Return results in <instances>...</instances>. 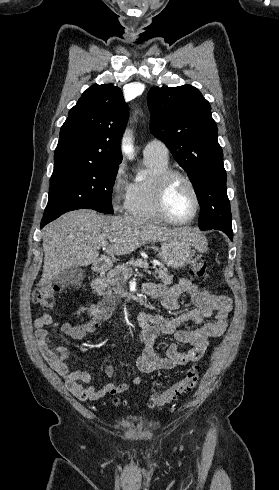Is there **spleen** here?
Here are the masks:
<instances>
[{
	"mask_svg": "<svg viewBox=\"0 0 279 490\" xmlns=\"http://www.w3.org/2000/svg\"><path fill=\"white\" fill-rule=\"evenodd\" d=\"M203 242H205V240H202V246H203L204 252H206L207 248H206L205 244H203Z\"/></svg>",
	"mask_w": 279,
	"mask_h": 490,
	"instance_id": "spleen-1",
	"label": "spleen"
}]
</instances>
